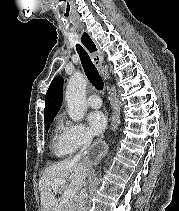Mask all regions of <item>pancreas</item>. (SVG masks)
<instances>
[{
	"label": "pancreas",
	"mask_w": 179,
	"mask_h": 211,
	"mask_svg": "<svg viewBox=\"0 0 179 211\" xmlns=\"http://www.w3.org/2000/svg\"><path fill=\"white\" fill-rule=\"evenodd\" d=\"M60 200V205L62 207L61 211H78V200L77 199H66L62 197Z\"/></svg>",
	"instance_id": "1"
}]
</instances>
